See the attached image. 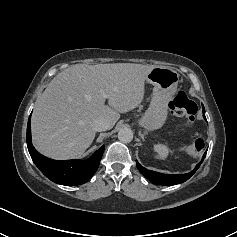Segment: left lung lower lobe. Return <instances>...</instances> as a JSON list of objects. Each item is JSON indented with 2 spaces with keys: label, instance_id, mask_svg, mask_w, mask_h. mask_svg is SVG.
Listing matches in <instances>:
<instances>
[{
  "label": "left lung lower lobe",
  "instance_id": "0a47b994",
  "mask_svg": "<svg viewBox=\"0 0 237 237\" xmlns=\"http://www.w3.org/2000/svg\"><path fill=\"white\" fill-rule=\"evenodd\" d=\"M205 112L204 107H203V113ZM204 116V115H203ZM204 119L206 120V117L204 116ZM207 151L204 153L202 160L196 165L195 169L186 174H174V175H167V174H162L158 172H154L151 170H148L144 167H142L137 161L136 165L139 171L147 178L149 179L152 183L157 184V185H175V184H180L188 180L199 168L201 163L203 162L205 156H206Z\"/></svg>",
  "mask_w": 237,
  "mask_h": 237
}]
</instances>
